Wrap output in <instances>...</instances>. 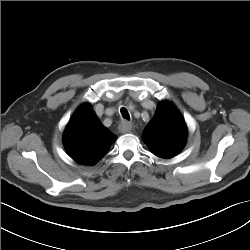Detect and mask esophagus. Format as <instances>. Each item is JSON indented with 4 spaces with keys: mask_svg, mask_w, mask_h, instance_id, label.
Masks as SVG:
<instances>
[{
    "mask_svg": "<svg viewBox=\"0 0 250 250\" xmlns=\"http://www.w3.org/2000/svg\"><path fill=\"white\" fill-rule=\"evenodd\" d=\"M119 131L123 134L130 133L132 131V124L129 121H122L119 125Z\"/></svg>",
    "mask_w": 250,
    "mask_h": 250,
    "instance_id": "esophagus-1",
    "label": "esophagus"
}]
</instances>
